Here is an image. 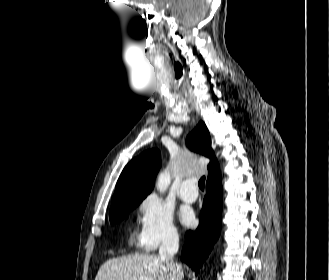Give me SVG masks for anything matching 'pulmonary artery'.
Here are the masks:
<instances>
[{"instance_id":"1","label":"pulmonary artery","mask_w":329,"mask_h":280,"mask_svg":"<svg viewBox=\"0 0 329 280\" xmlns=\"http://www.w3.org/2000/svg\"><path fill=\"white\" fill-rule=\"evenodd\" d=\"M179 196L186 202H195L198 198V191L196 186V180L189 178L183 180L179 189Z\"/></svg>"}]
</instances>
